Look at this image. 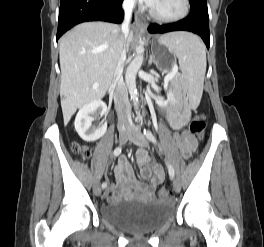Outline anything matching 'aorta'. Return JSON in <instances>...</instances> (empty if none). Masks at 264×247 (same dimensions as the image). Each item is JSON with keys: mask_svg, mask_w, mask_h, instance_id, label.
I'll return each instance as SVG.
<instances>
[{"mask_svg": "<svg viewBox=\"0 0 264 247\" xmlns=\"http://www.w3.org/2000/svg\"><path fill=\"white\" fill-rule=\"evenodd\" d=\"M143 30L141 29V32ZM141 42V40H140ZM143 54H144V48L141 45H138L135 49V57L132 60V62L129 64L126 70L125 74V81L126 85L129 91V94L131 96V99L134 102V106L138 108V94L136 89V75L139 69L141 68V65L143 63Z\"/></svg>", "mask_w": 264, "mask_h": 247, "instance_id": "obj_1", "label": "aorta"}]
</instances>
